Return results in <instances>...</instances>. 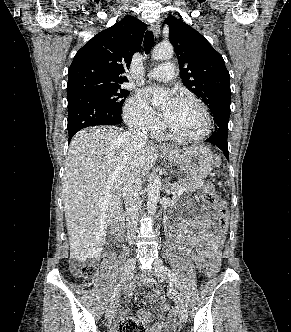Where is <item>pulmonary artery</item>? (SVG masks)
<instances>
[{"instance_id": "obj_1", "label": "pulmonary artery", "mask_w": 291, "mask_h": 332, "mask_svg": "<svg viewBox=\"0 0 291 332\" xmlns=\"http://www.w3.org/2000/svg\"><path fill=\"white\" fill-rule=\"evenodd\" d=\"M147 76L158 81H170L175 77L174 64L172 62L163 63L150 70Z\"/></svg>"}]
</instances>
